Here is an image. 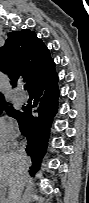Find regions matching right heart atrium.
<instances>
[{
  "mask_svg": "<svg viewBox=\"0 0 89 203\" xmlns=\"http://www.w3.org/2000/svg\"><path fill=\"white\" fill-rule=\"evenodd\" d=\"M16 137L15 126L13 120L8 117L4 116L0 119V140L1 143L9 147L11 141Z\"/></svg>",
  "mask_w": 89,
  "mask_h": 203,
  "instance_id": "right-heart-atrium-1",
  "label": "right heart atrium"
}]
</instances>
